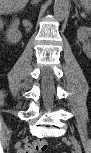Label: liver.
<instances>
[{
    "instance_id": "obj_1",
    "label": "liver",
    "mask_w": 91,
    "mask_h": 153,
    "mask_svg": "<svg viewBox=\"0 0 91 153\" xmlns=\"http://www.w3.org/2000/svg\"><path fill=\"white\" fill-rule=\"evenodd\" d=\"M27 3L28 0H1V11L7 13L18 12L23 9Z\"/></svg>"
}]
</instances>
